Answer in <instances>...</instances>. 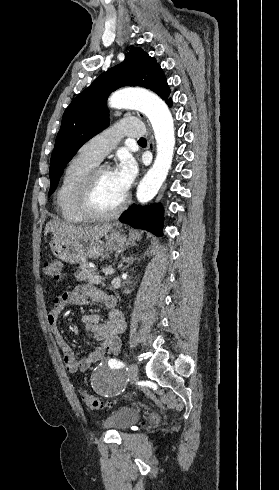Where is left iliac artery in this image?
<instances>
[{"label":"left iliac artery","mask_w":279,"mask_h":490,"mask_svg":"<svg viewBox=\"0 0 279 490\" xmlns=\"http://www.w3.org/2000/svg\"><path fill=\"white\" fill-rule=\"evenodd\" d=\"M109 365L112 368H123L124 364L121 361H117L116 359H110L109 360Z\"/></svg>","instance_id":"left-iliac-artery-1"}]
</instances>
